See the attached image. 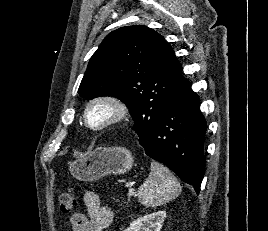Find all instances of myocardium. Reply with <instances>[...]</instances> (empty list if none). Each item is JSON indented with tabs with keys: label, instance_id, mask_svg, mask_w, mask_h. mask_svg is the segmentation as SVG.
<instances>
[{
	"label": "myocardium",
	"instance_id": "f54148a6",
	"mask_svg": "<svg viewBox=\"0 0 268 231\" xmlns=\"http://www.w3.org/2000/svg\"><path fill=\"white\" fill-rule=\"evenodd\" d=\"M98 104H106L111 108V115L109 118H107L105 121L93 125L89 122L88 114L89 110L94 106ZM128 114V109L126 104L121 100L119 97L111 94H102V95H96L93 98H91L84 109V123L85 125L93 131H102L104 129H107L111 126H115L117 124H120L123 122Z\"/></svg>",
	"mask_w": 268,
	"mask_h": 231
}]
</instances>
